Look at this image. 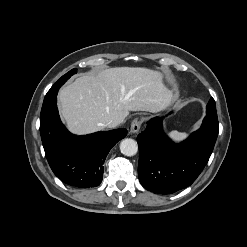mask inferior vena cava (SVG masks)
Segmentation results:
<instances>
[{
	"label": "inferior vena cava",
	"instance_id": "602c4592",
	"mask_svg": "<svg viewBox=\"0 0 247 247\" xmlns=\"http://www.w3.org/2000/svg\"><path fill=\"white\" fill-rule=\"evenodd\" d=\"M120 124V121L118 120H111L109 121L106 126L109 128H115L116 126H118Z\"/></svg>",
	"mask_w": 247,
	"mask_h": 247
}]
</instances>
